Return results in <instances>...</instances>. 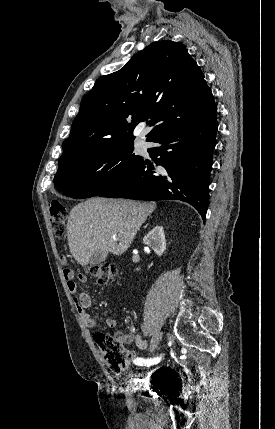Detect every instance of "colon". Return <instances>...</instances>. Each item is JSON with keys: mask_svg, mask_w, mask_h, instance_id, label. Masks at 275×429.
I'll use <instances>...</instances> for the list:
<instances>
[{"mask_svg": "<svg viewBox=\"0 0 275 429\" xmlns=\"http://www.w3.org/2000/svg\"><path fill=\"white\" fill-rule=\"evenodd\" d=\"M51 226L55 236L61 237L65 233L67 224V210L58 200L49 203ZM62 265L67 263L66 257L61 255ZM88 275L95 278L101 284H108L113 281L117 267L112 263H102L88 268ZM94 340L99 347L101 356L107 368L115 373L127 368L132 360V353L124 347L121 337L105 333H96Z\"/></svg>", "mask_w": 275, "mask_h": 429, "instance_id": "5ec220e1", "label": "colon"}]
</instances>
